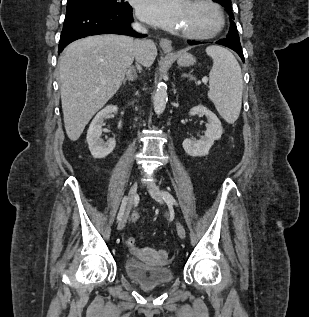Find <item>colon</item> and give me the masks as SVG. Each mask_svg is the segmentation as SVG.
Segmentation results:
<instances>
[{
    "label": "colon",
    "instance_id": "5ec220e1",
    "mask_svg": "<svg viewBox=\"0 0 309 317\" xmlns=\"http://www.w3.org/2000/svg\"><path fill=\"white\" fill-rule=\"evenodd\" d=\"M131 218H132V221H133V222H137V221L139 220L140 216H139L138 213L135 212V213L132 214V217H131ZM126 244H127V246H128L129 248L134 249V248H135V245H136L135 239H134L133 237L127 238ZM160 256H161L162 259H164V260L167 258V254H166V252H164V251L160 252Z\"/></svg>",
    "mask_w": 309,
    "mask_h": 317
}]
</instances>
